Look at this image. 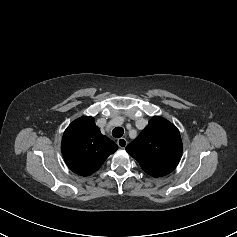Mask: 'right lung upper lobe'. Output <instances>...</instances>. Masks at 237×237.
Segmentation results:
<instances>
[{
    "label": "right lung upper lobe",
    "instance_id": "cb5924a9",
    "mask_svg": "<svg viewBox=\"0 0 237 237\" xmlns=\"http://www.w3.org/2000/svg\"><path fill=\"white\" fill-rule=\"evenodd\" d=\"M117 149L112 140L101 134L91 116L73 121L65 130L61 143L67 166L81 176L97 171Z\"/></svg>",
    "mask_w": 237,
    "mask_h": 237
}]
</instances>
